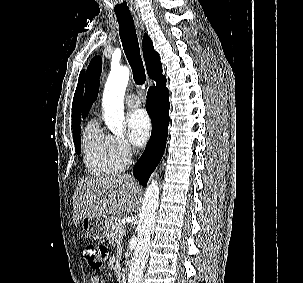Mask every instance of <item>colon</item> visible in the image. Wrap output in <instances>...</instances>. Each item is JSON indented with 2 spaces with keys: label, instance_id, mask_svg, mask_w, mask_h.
<instances>
[{
  "label": "colon",
  "instance_id": "colon-1",
  "mask_svg": "<svg viewBox=\"0 0 303 283\" xmlns=\"http://www.w3.org/2000/svg\"><path fill=\"white\" fill-rule=\"evenodd\" d=\"M109 255V248L100 243H88L82 249L84 261L93 270L101 269L109 258Z\"/></svg>",
  "mask_w": 303,
  "mask_h": 283
}]
</instances>
